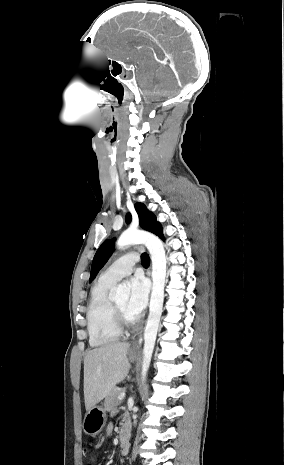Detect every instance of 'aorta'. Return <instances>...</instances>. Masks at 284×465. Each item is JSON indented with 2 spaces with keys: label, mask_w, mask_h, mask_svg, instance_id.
I'll return each mask as SVG.
<instances>
[{
  "label": "aorta",
  "mask_w": 284,
  "mask_h": 465,
  "mask_svg": "<svg viewBox=\"0 0 284 465\" xmlns=\"http://www.w3.org/2000/svg\"><path fill=\"white\" fill-rule=\"evenodd\" d=\"M132 244H144L152 260V293L149 306V316L144 332L143 361H142V382L145 380L159 327L164 302V287L166 278V255L161 240L155 235L140 231L127 230L117 240V247L123 248ZM129 288L126 285H118L113 292V297L117 300L127 299Z\"/></svg>",
  "instance_id": "1"
}]
</instances>
